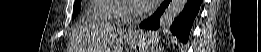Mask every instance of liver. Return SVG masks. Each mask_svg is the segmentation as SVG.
<instances>
[{"label":"liver","instance_id":"6515ba94","mask_svg":"<svg viewBox=\"0 0 261 52\" xmlns=\"http://www.w3.org/2000/svg\"><path fill=\"white\" fill-rule=\"evenodd\" d=\"M91 34L97 37V41L91 50H107V45H113L114 43L119 44L123 41L124 30L113 27L108 24H93L90 25ZM101 42L98 40H100ZM96 52V51H93Z\"/></svg>","mask_w":261,"mask_h":52}]
</instances>
